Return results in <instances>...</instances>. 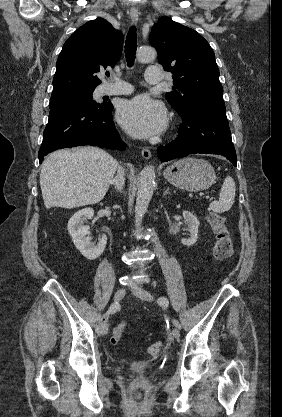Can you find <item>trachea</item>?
Wrapping results in <instances>:
<instances>
[{"mask_svg":"<svg viewBox=\"0 0 282 417\" xmlns=\"http://www.w3.org/2000/svg\"><path fill=\"white\" fill-rule=\"evenodd\" d=\"M136 50H137L136 27L131 26V28L128 31L126 41H125V57H126V62L129 68H131L134 65Z\"/></svg>","mask_w":282,"mask_h":417,"instance_id":"trachea-1","label":"trachea"}]
</instances>
